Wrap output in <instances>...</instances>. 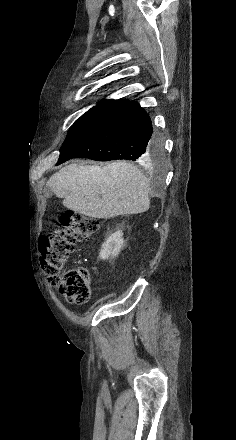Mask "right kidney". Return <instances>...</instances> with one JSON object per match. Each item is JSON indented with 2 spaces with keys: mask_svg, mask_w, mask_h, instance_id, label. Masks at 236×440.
<instances>
[{
  "mask_svg": "<svg viewBox=\"0 0 236 440\" xmlns=\"http://www.w3.org/2000/svg\"><path fill=\"white\" fill-rule=\"evenodd\" d=\"M123 245V232L122 230H117L116 232L111 234L102 244V249L99 253L100 259L106 260L110 257L113 258L118 256Z\"/></svg>",
  "mask_w": 236,
  "mask_h": 440,
  "instance_id": "ca27d5eb",
  "label": "right kidney"
}]
</instances>
